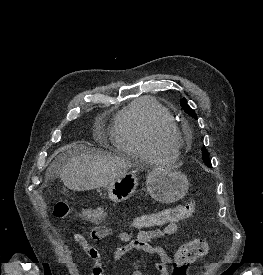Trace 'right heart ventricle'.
Instances as JSON below:
<instances>
[{"mask_svg": "<svg viewBox=\"0 0 263 275\" xmlns=\"http://www.w3.org/2000/svg\"><path fill=\"white\" fill-rule=\"evenodd\" d=\"M176 126L171 113L150 97L135 100L115 117L113 145L121 152L144 159H173L177 148L163 146L154 139L158 127Z\"/></svg>", "mask_w": 263, "mask_h": 275, "instance_id": "obj_1", "label": "right heart ventricle"}]
</instances>
